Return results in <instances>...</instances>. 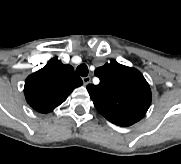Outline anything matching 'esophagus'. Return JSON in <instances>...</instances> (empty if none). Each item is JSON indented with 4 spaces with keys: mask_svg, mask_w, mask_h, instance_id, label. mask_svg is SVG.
<instances>
[{
    "mask_svg": "<svg viewBox=\"0 0 181 164\" xmlns=\"http://www.w3.org/2000/svg\"><path fill=\"white\" fill-rule=\"evenodd\" d=\"M82 80H83L84 85H88L91 81V77L86 76V77H83Z\"/></svg>",
    "mask_w": 181,
    "mask_h": 164,
    "instance_id": "34e87169",
    "label": "esophagus"
}]
</instances>
